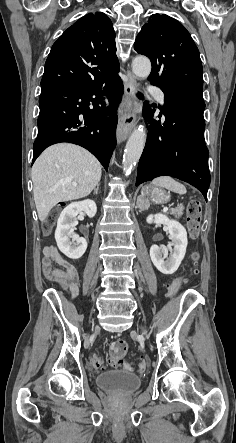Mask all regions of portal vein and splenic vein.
Instances as JSON below:
<instances>
[{
    "label": "portal vein and splenic vein",
    "instance_id": "18ae733b",
    "mask_svg": "<svg viewBox=\"0 0 236 443\" xmlns=\"http://www.w3.org/2000/svg\"><path fill=\"white\" fill-rule=\"evenodd\" d=\"M163 211H164V212H167V211H168V208H167V207H165Z\"/></svg>",
    "mask_w": 236,
    "mask_h": 443
}]
</instances>
